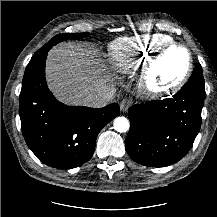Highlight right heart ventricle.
Masks as SVG:
<instances>
[{
	"mask_svg": "<svg viewBox=\"0 0 217 217\" xmlns=\"http://www.w3.org/2000/svg\"><path fill=\"white\" fill-rule=\"evenodd\" d=\"M169 43H172L171 37L163 34L118 38L109 46L110 61L118 70L130 72L144 65L156 50Z\"/></svg>",
	"mask_w": 217,
	"mask_h": 217,
	"instance_id": "obj_1",
	"label": "right heart ventricle"
}]
</instances>
